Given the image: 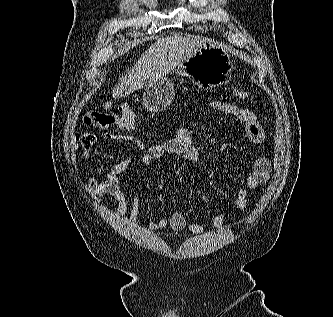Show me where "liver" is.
Here are the masks:
<instances>
[{"label": "liver", "mask_w": 333, "mask_h": 317, "mask_svg": "<svg viewBox=\"0 0 333 317\" xmlns=\"http://www.w3.org/2000/svg\"><path fill=\"white\" fill-rule=\"evenodd\" d=\"M208 39L199 36H171L158 39L140 57L134 68L122 78L113 90L114 98L125 97L153 81L164 77L185 60Z\"/></svg>", "instance_id": "liver-1"}]
</instances>
